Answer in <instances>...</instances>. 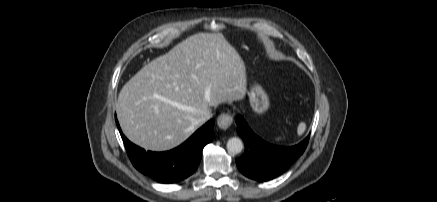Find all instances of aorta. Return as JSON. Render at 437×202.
Masks as SVG:
<instances>
[{
  "instance_id": "aorta-1",
  "label": "aorta",
  "mask_w": 437,
  "mask_h": 202,
  "mask_svg": "<svg viewBox=\"0 0 437 202\" xmlns=\"http://www.w3.org/2000/svg\"><path fill=\"white\" fill-rule=\"evenodd\" d=\"M243 149V143L242 141L237 138V137H233L230 138L227 142V150L232 153V154H238L242 151Z\"/></svg>"
}]
</instances>
